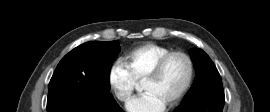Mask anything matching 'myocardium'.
<instances>
[{
    "instance_id": "obj_1",
    "label": "myocardium",
    "mask_w": 270,
    "mask_h": 112,
    "mask_svg": "<svg viewBox=\"0 0 270 112\" xmlns=\"http://www.w3.org/2000/svg\"><path fill=\"white\" fill-rule=\"evenodd\" d=\"M174 56L183 57L187 61L189 71H188L187 80H186L183 88L178 93V95L167 104L169 107H172V106L179 104L185 98V96L188 94V92L193 84V81L195 78V65H194V61L191 58V56L188 53L181 51V50H175V51H171V52L165 54L156 63L154 68L151 70V72L147 75L146 79L144 80V83H145L148 81L158 79L161 76V74L163 73L164 68L167 65V63L169 62V60L171 58H173Z\"/></svg>"
}]
</instances>
